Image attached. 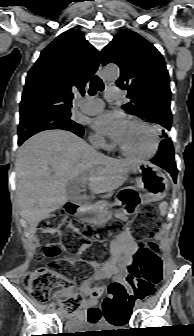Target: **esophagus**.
<instances>
[{
	"label": "esophagus",
	"mask_w": 194,
	"mask_h": 336,
	"mask_svg": "<svg viewBox=\"0 0 194 336\" xmlns=\"http://www.w3.org/2000/svg\"><path fill=\"white\" fill-rule=\"evenodd\" d=\"M97 74L99 75V77L103 78V74H102V64L99 65L98 70H97Z\"/></svg>",
	"instance_id": "34e87169"
}]
</instances>
